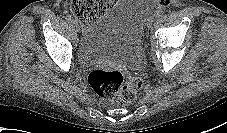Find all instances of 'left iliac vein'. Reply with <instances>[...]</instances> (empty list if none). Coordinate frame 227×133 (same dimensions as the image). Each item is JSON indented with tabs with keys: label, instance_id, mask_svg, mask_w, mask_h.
<instances>
[{
	"label": "left iliac vein",
	"instance_id": "4c4485c4",
	"mask_svg": "<svg viewBox=\"0 0 227 133\" xmlns=\"http://www.w3.org/2000/svg\"><path fill=\"white\" fill-rule=\"evenodd\" d=\"M155 20V16H151L147 21V27L150 28Z\"/></svg>",
	"mask_w": 227,
	"mask_h": 133
}]
</instances>
